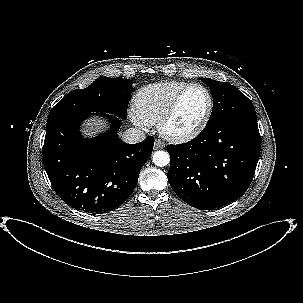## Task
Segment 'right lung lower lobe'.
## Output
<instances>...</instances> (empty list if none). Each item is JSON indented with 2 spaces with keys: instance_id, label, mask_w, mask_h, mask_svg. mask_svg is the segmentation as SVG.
<instances>
[{
  "instance_id": "98d812e1",
  "label": "right lung lower lobe",
  "mask_w": 303,
  "mask_h": 303,
  "mask_svg": "<svg viewBox=\"0 0 303 303\" xmlns=\"http://www.w3.org/2000/svg\"><path fill=\"white\" fill-rule=\"evenodd\" d=\"M99 114L109 118L112 129L92 139L79 133L90 113L49 117L43 146V164L56 194L92 214L111 211L131 195L154 145L151 136L137 144L124 143L116 134L120 118Z\"/></svg>"
}]
</instances>
